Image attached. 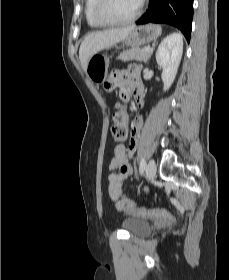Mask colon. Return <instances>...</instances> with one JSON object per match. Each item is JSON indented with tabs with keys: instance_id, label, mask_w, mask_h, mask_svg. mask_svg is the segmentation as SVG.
<instances>
[{
	"instance_id": "5ec220e1",
	"label": "colon",
	"mask_w": 229,
	"mask_h": 280,
	"mask_svg": "<svg viewBox=\"0 0 229 280\" xmlns=\"http://www.w3.org/2000/svg\"><path fill=\"white\" fill-rule=\"evenodd\" d=\"M127 124H128V116L124 111H118L113 117V124L111 127L112 140L114 143H118L123 140L127 135ZM118 191L115 190L113 195H117ZM119 208L128 209L133 215H136L141 218L148 217H160L168 214L165 209H146L140 206H136L131 203L128 199H122L118 201Z\"/></svg>"
}]
</instances>
